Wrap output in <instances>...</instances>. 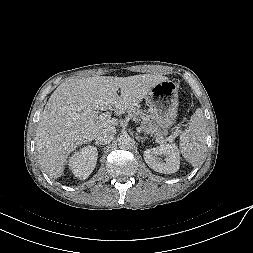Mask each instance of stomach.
Segmentation results:
<instances>
[{
	"label": "stomach",
	"instance_id": "obj_1",
	"mask_svg": "<svg viewBox=\"0 0 253 253\" xmlns=\"http://www.w3.org/2000/svg\"><path fill=\"white\" fill-rule=\"evenodd\" d=\"M145 100L153 124L161 130H168L174 125L179 105L177 83L165 80L156 84Z\"/></svg>",
	"mask_w": 253,
	"mask_h": 253
}]
</instances>
